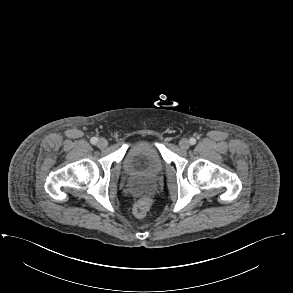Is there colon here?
<instances>
[{"label": "colon", "instance_id": "obj_1", "mask_svg": "<svg viewBox=\"0 0 293 293\" xmlns=\"http://www.w3.org/2000/svg\"><path fill=\"white\" fill-rule=\"evenodd\" d=\"M151 203V199L148 196H142L139 198L133 207L134 215L138 218L145 217L151 206Z\"/></svg>", "mask_w": 293, "mask_h": 293}]
</instances>
